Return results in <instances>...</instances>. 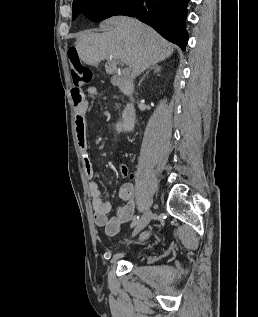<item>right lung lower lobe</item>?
<instances>
[{
  "instance_id": "1",
  "label": "right lung lower lobe",
  "mask_w": 258,
  "mask_h": 317,
  "mask_svg": "<svg viewBox=\"0 0 258 317\" xmlns=\"http://www.w3.org/2000/svg\"><path fill=\"white\" fill-rule=\"evenodd\" d=\"M189 0H123L114 15L136 17L153 27L159 34L182 50L188 41L185 29ZM85 15V12H82Z\"/></svg>"
}]
</instances>
